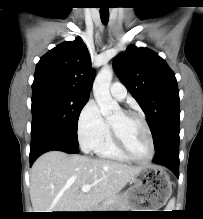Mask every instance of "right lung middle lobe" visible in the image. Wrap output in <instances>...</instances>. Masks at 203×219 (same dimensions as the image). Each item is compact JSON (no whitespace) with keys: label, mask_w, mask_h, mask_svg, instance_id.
Masks as SVG:
<instances>
[{"label":"right lung middle lobe","mask_w":203,"mask_h":219,"mask_svg":"<svg viewBox=\"0 0 203 219\" xmlns=\"http://www.w3.org/2000/svg\"><path fill=\"white\" fill-rule=\"evenodd\" d=\"M88 99L59 87H32L31 137L50 134L77 148V123Z\"/></svg>","instance_id":"dd1d6c3e"}]
</instances>
